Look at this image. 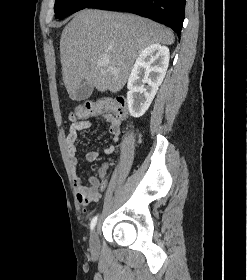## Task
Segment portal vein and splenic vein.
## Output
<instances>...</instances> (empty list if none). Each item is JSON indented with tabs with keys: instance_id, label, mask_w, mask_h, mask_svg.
Listing matches in <instances>:
<instances>
[{
	"instance_id": "portal-vein-and-splenic-vein-1",
	"label": "portal vein and splenic vein",
	"mask_w": 247,
	"mask_h": 280,
	"mask_svg": "<svg viewBox=\"0 0 247 280\" xmlns=\"http://www.w3.org/2000/svg\"><path fill=\"white\" fill-rule=\"evenodd\" d=\"M106 63H107V60H102V61H99L98 65L104 66V65H106Z\"/></svg>"
}]
</instances>
